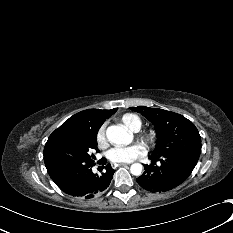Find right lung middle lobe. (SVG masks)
Returning <instances> with one entry per match:
<instances>
[{
  "mask_svg": "<svg viewBox=\"0 0 233 233\" xmlns=\"http://www.w3.org/2000/svg\"><path fill=\"white\" fill-rule=\"evenodd\" d=\"M97 131L63 135L57 138L44 162L50 177L56 184L71 179L84 169L92 167L97 148Z\"/></svg>",
  "mask_w": 233,
  "mask_h": 233,
  "instance_id": "right-lung-middle-lobe-1",
  "label": "right lung middle lobe"
}]
</instances>
